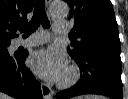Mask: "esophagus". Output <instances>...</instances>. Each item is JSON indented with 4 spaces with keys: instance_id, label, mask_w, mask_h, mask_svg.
<instances>
[{
    "instance_id": "34e87169",
    "label": "esophagus",
    "mask_w": 128,
    "mask_h": 99,
    "mask_svg": "<svg viewBox=\"0 0 128 99\" xmlns=\"http://www.w3.org/2000/svg\"><path fill=\"white\" fill-rule=\"evenodd\" d=\"M45 2L48 5L51 2V0H45ZM41 91H42L44 99H51L52 98L53 91L49 85L42 83L41 84Z\"/></svg>"
}]
</instances>
